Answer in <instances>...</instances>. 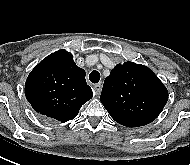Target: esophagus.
Returning <instances> with one entry per match:
<instances>
[{"mask_svg": "<svg viewBox=\"0 0 190 165\" xmlns=\"http://www.w3.org/2000/svg\"><path fill=\"white\" fill-rule=\"evenodd\" d=\"M101 90H102V84L101 83L94 85V92L96 95H100Z\"/></svg>", "mask_w": 190, "mask_h": 165, "instance_id": "1", "label": "esophagus"}]
</instances>
